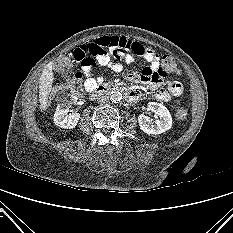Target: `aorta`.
<instances>
[{"label": "aorta", "mask_w": 233, "mask_h": 233, "mask_svg": "<svg viewBox=\"0 0 233 233\" xmlns=\"http://www.w3.org/2000/svg\"><path fill=\"white\" fill-rule=\"evenodd\" d=\"M122 99V93L120 91L114 90L110 93V100L114 103L120 102Z\"/></svg>", "instance_id": "aorta-1"}]
</instances>
